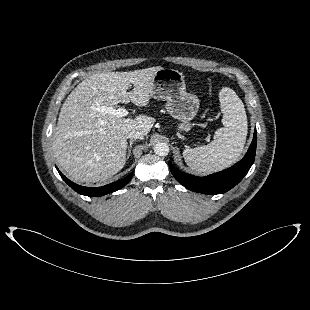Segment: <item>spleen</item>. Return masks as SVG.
<instances>
[{"label": "spleen", "instance_id": "spleen-1", "mask_svg": "<svg viewBox=\"0 0 310 310\" xmlns=\"http://www.w3.org/2000/svg\"><path fill=\"white\" fill-rule=\"evenodd\" d=\"M223 112L222 128L208 145L186 148L183 151L185 162L192 169L202 173L221 171L241 156L248 132L244 104L230 88H222L219 93Z\"/></svg>", "mask_w": 310, "mask_h": 310}]
</instances>
